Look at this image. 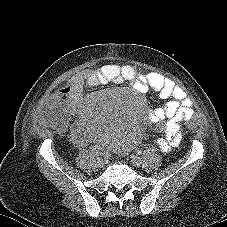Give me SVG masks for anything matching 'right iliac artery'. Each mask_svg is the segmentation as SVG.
Segmentation results:
<instances>
[{
  "mask_svg": "<svg viewBox=\"0 0 227 227\" xmlns=\"http://www.w3.org/2000/svg\"><path fill=\"white\" fill-rule=\"evenodd\" d=\"M96 155H97V156H102V155H103V152L97 151V152H96Z\"/></svg>",
  "mask_w": 227,
  "mask_h": 227,
  "instance_id": "82829eb1",
  "label": "right iliac artery"
}]
</instances>
